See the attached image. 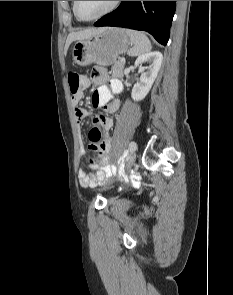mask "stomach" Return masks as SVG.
<instances>
[{
	"instance_id": "stomach-1",
	"label": "stomach",
	"mask_w": 233,
	"mask_h": 295,
	"mask_svg": "<svg viewBox=\"0 0 233 295\" xmlns=\"http://www.w3.org/2000/svg\"><path fill=\"white\" fill-rule=\"evenodd\" d=\"M130 44L126 30L108 27L87 39L76 41L72 58L79 66L92 63L108 66L115 63L119 55L127 52Z\"/></svg>"
}]
</instances>
